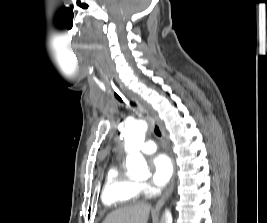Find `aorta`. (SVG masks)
I'll use <instances>...</instances> for the list:
<instances>
[{"label": "aorta", "mask_w": 267, "mask_h": 223, "mask_svg": "<svg viewBox=\"0 0 267 223\" xmlns=\"http://www.w3.org/2000/svg\"><path fill=\"white\" fill-rule=\"evenodd\" d=\"M147 123L138 121L129 123L124 130L125 150L128 152L126 167L130 176H141L148 173L147 163L140 153L145 140ZM172 214L166 209L161 217V223H172Z\"/></svg>", "instance_id": "1"}]
</instances>
